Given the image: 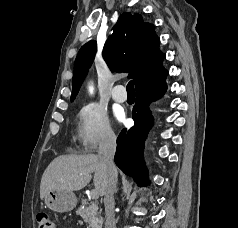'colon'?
I'll use <instances>...</instances> for the list:
<instances>
[{
  "instance_id": "colon-1",
  "label": "colon",
  "mask_w": 238,
  "mask_h": 228,
  "mask_svg": "<svg viewBox=\"0 0 238 228\" xmlns=\"http://www.w3.org/2000/svg\"><path fill=\"white\" fill-rule=\"evenodd\" d=\"M35 220L37 228H54V223L46 211H38Z\"/></svg>"
}]
</instances>
